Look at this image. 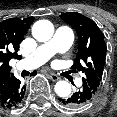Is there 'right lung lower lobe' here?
I'll list each match as a JSON object with an SVG mask.
<instances>
[{"instance_id":"right-lung-lower-lobe-1","label":"right lung lower lobe","mask_w":117,"mask_h":117,"mask_svg":"<svg viewBox=\"0 0 117 117\" xmlns=\"http://www.w3.org/2000/svg\"><path fill=\"white\" fill-rule=\"evenodd\" d=\"M25 91L26 86L13 77L0 92V106L8 109L17 107L22 102Z\"/></svg>"}]
</instances>
